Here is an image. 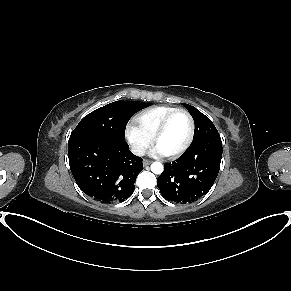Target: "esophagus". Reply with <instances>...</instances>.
<instances>
[{
    "label": "esophagus",
    "instance_id": "obj_1",
    "mask_svg": "<svg viewBox=\"0 0 291 291\" xmlns=\"http://www.w3.org/2000/svg\"><path fill=\"white\" fill-rule=\"evenodd\" d=\"M151 164V161L150 160H148V159H144L143 160V165L144 166H147V165H150Z\"/></svg>",
    "mask_w": 291,
    "mask_h": 291
}]
</instances>
